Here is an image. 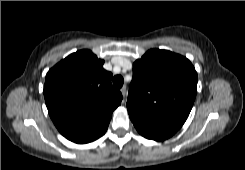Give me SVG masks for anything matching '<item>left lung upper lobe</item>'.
<instances>
[{
  "label": "left lung upper lobe",
  "mask_w": 245,
  "mask_h": 170,
  "mask_svg": "<svg viewBox=\"0 0 245 170\" xmlns=\"http://www.w3.org/2000/svg\"><path fill=\"white\" fill-rule=\"evenodd\" d=\"M197 92V72L179 54L151 49L133 64L128 113L179 130L189 116Z\"/></svg>",
  "instance_id": "left-lung-upper-lobe-1"
}]
</instances>
